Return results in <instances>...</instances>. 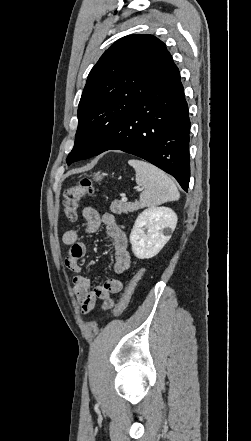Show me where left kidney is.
<instances>
[{
	"label": "left kidney",
	"mask_w": 251,
	"mask_h": 441,
	"mask_svg": "<svg viewBox=\"0 0 251 441\" xmlns=\"http://www.w3.org/2000/svg\"><path fill=\"white\" fill-rule=\"evenodd\" d=\"M176 224L177 215L168 207L145 209L138 215L130 234L134 255L139 259L156 256L170 240Z\"/></svg>",
	"instance_id": "obj_1"
}]
</instances>
